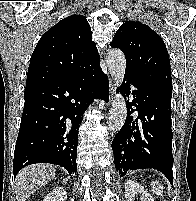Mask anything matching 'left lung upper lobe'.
I'll return each mask as SVG.
<instances>
[{
    "label": "left lung upper lobe",
    "mask_w": 196,
    "mask_h": 201,
    "mask_svg": "<svg viewBox=\"0 0 196 201\" xmlns=\"http://www.w3.org/2000/svg\"><path fill=\"white\" fill-rule=\"evenodd\" d=\"M110 45L120 48L126 57V71L145 84L172 93L169 54L162 38L149 26L137 21L125 22Z\"/></svg>",
    "instance_id": "5c2ea615"
}]
</instances>
